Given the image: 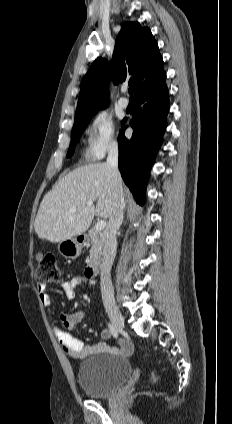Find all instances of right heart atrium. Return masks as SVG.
<instances>
[{"label":"right heart atrium","mask_w":232,"mask_h":424,"mask_svg":"<svg viewBox=\"0 0 232 424\" xmlns=\"http://www.w3.org/2000/svg\"><path fill=\"white\" fill-rule=\"evenodd\" d=\"M118 147V133L112 117L98 112L91 120L88 128L87 153L95 159L103 158L109 151Z\"/></svg>","instance_id":"d8ad5b80"}]
</instances>
